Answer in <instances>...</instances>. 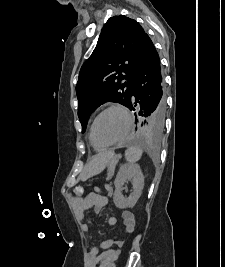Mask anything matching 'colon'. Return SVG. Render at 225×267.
I'll list each match as a JSON object with an SVG mask.
<instances>
[{
  "label": "colon",
  "instance_id": "1",
  "mask_svg": "<svg viewBox=\"0 0 225 267\" xmlns=\"http://www.w3.org/2000/svg\"><path fill=\"white\" fill-rule=\"evenodd\" d=\"M73 195L78 199L82 198L84 195V188L82 186H76L73 189ZM106 267H115V264L113 261H108Z\"/></svg>",
  "mask_w": 225,
  "mask_h": 267
}]
</instances>
